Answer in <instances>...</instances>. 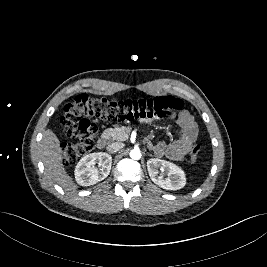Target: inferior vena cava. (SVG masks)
Masks as SVG:
<instances>
[{
    "instance_id": "obj_1",
    "label": "inferior vena cava",
    "mask_w": 267,
    "mask_h": 267,
    "mask_svg": "<svg viewBox=\"0 0 267 267\" xmlns=\"http://www.w3.org/2000/svg\"><path fill=\"white\" fill-rule=\"evenodd\" d=\"M123 147H124L123 143H121V142H113V143L108 144L106 150L109 153H116L119 150H121Z\"/></svg>"
}]
</instances>
